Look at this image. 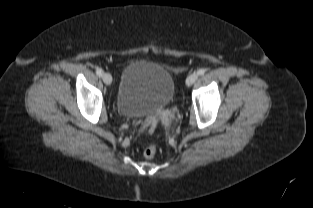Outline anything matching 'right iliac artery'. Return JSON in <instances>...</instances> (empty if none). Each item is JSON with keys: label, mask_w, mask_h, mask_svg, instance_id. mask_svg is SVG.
<instances>
[{"label": "right iliac artery", "mask_w": 313, "mask_h": 208, "mask_svg": "<svg viewBox=\"0 0 313 208\" xmlns=\"http://www.w3.org/2000/svg\"><path fill=\"white\" fill-rule=\"evenodd\" d=\"M96 74L101 77L103 75V70L101 68H96Z\"/></svg>", "instance_id": "right-iliac-artery-1"}]
</instances>
